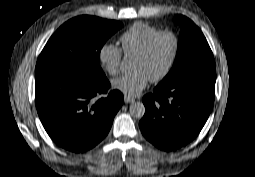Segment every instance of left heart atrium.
<instances>
[{
	"label": "left heart atrium",
	"instance_id": "left-heart-atrium-1",
	"mask_svg": "<svg viewBox=\"0 0 255 177\" xmlns=\"http://www.w3.org/2000/svg\"><path fill=\"white\" fill-rule=\"evenodd\" d=\"M149 78L141 71L123 75L113 81L114 89L127 96H137L147 86Z\"/></svg>",
	"mask_w": 255,
	"mask_h": 177
}]
</instances>
